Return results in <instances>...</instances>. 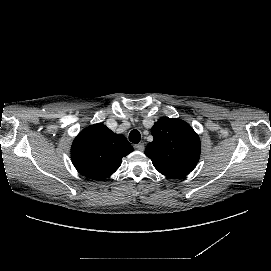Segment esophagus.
<instances>
[{
	"mask_svg": "<svg viewBox=\"0 0 271 271\" xmlns=\"http://www.w3.org/2000/svg\"><path fill=\"white\" fill-rule=\"evenodd\" d=\"M134 149L139 150V151H144V149H145V144H144L143 142H142V143L135 144V145H134Z\"/></svg>",
	"mask_w": 271,
	"mask_h": 271,
	"instance_id": "obj_1",
	"label": "esophagus"
}]
</instances>
